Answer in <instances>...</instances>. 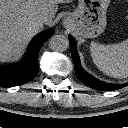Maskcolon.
<instances>
[{
    "instance_id": "obj_1",
    "label": "colon",
    "mask_w": 128,
    "mask_h": 128,
    "mask_svg": "<svg viewBox=\"0 0 128 128\" xmlns=\"http://www.w3.org/2000/svg\"><path fill=\"white\" fill-rule=\"evenodd\" d=\"M128 2V0H126ZM126 19L128 20V9H127V14H126Z\"/></svg>"
}]
</instances>
